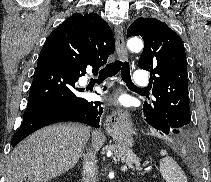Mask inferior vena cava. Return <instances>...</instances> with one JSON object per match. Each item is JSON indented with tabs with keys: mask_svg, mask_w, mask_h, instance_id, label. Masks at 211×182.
<instances>
[{
	"mask_svg": "<svg viewBox=\"0 0 211 182\" xmlns=\"http://www.w3.org/2000/svg\"><path fill=\"white\" fill-rule=\"evenodd\" d=\"M93 149L94 147L91 149H88L87 156L84 159L83 174H82L84 182H95L96 180L97 160H96L95 151H93Z\"/></svg>",
	"mask_w": 211,
	"mask_h": 182,
	"instance_id": "obj_1",
	"label": "inferior vena cava"
}]
</instances>
